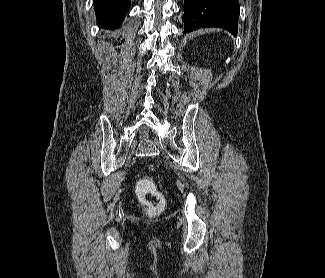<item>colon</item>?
Returning a JSON list of instances; mask_svg holds the SVG:
<instances>
[{
    "label": "colon",
    "instance_id": "5ec220e1",
    "mask_svg": "<svg viewBox=\"0 0 325 278\" xmlns=\"http://www.w3.org/2000/svg\"><path fill=\"white\" fill-rule=\"evenodd\" d=\"M136 189L140 201L146 206L148 215L155 216L163 210L165 206L164 195L150 179H139Z\"/></svg>",
    "mask_w": 325,
    "mask_h": 278
}]
</instances>
